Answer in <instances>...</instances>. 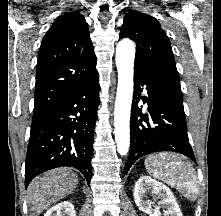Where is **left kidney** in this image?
Returning a JSON list of instances; mask_svg holds the SVG:
<instances>
[{
    "mask_svg": "<svg viewBox=\"0 0 221 216\" xmlns=\"http://www.w3.org/2000/svg\"><path fill=\"white\" fill-rule=\"evenodd\" d=\"M158 195L161 199L159 205L165 209L164 216H183L179 205L172 191L163 183L152 179L149 176H141L134 187V200L139 210L147 213L149 216H162L159 208H152V202L147 200V192Z\"/></svg>",
    "mask_w": 221,
    "mask_h": 216,
    "instance_id": "obj_1",
    "label": "left kidney"
}]
</instances>
